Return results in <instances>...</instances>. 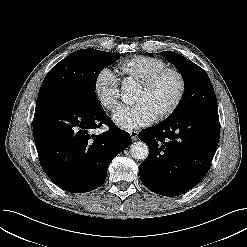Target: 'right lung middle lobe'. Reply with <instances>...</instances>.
Segmentation results:
<instances>
[{
	"label": "right lung middle lobe",
	"mask_w": 247,
	"mask_h": 247,
	"mask_svg": "<svg viewBox=\"0 0 247 247\" xmlns=\"http://www.w3.org/2000/svg\"><path fill=\"white\" fill-rule=\"evenodd\" d=\"M119 56V53H108L95 49L75 51L49 71L38 95L63 91L82 99L92 108H101L94 89L96 78Z\"/></svg>",
	"instance_id": "right-lung-middle-lobe-1"
}]
</instances>
